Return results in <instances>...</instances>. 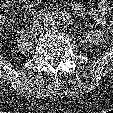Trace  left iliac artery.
Instances as JSON below:
<instances>
[{
	"instance_id": "1",
	"label": "left iliac artery",
	"mask_w": 113,
	"mask_h": 113,
	"mask_svg": "<svg viewBox=\"0 0 113 113\" xmlns=\"http://www.w3.org/2000/svg\"><path fill=\"white\" fill-rule=\"evenodd\" d=\"M63 20H64L65 22L69 23V24L72 22L71 17H70L69 15H66V16L63 18Z\"/></svg>"
}]
</instances>
